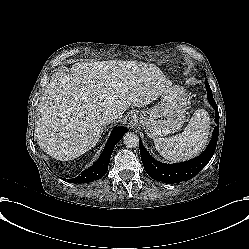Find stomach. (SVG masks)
Returning a JSON list of instances; mask_svg holds the SVG:
<instances>
[{
	"instance_id": "stomach-1",
	"label": "stomach",
	"mask_w": 249,
	"mask_h": 249,
	"mask_svg": "<svg viewBox=\"0 0 249 249\" xmlns=\"http://www.w3.org/2000/svg\"><path fill=\"white\" fill-rule=\"evenodd\" d=\"M187 98L182 88L174 87L161 95V100L147 111H135L133 119L150 138L178 132L186 120Z\"/></svg>"
}]
</instances>
